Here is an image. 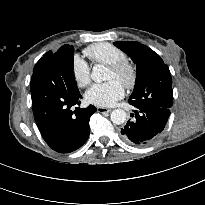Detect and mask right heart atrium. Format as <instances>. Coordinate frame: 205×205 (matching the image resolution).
Returning a JSON list of instances; mask_svg holds the SVG:
<instances>
[{
    "label": "right heart atrium",
    "mask_w": 205,
    "mask_h": 205,
    "mask_svg": "<svg viewBox=\"0 0 205 205\" xmlns=\"http://www.w3.org/2000/svg\"><path fill=\"white\" fill-rule=\"evenodd\" d=\"M71 74L75 84L80 88H85L91 83L90 66L77 54L72 58Z\"/></svg>",
    "instance_id": "1"
}]
</instances>
